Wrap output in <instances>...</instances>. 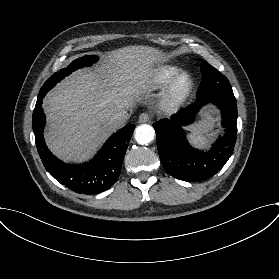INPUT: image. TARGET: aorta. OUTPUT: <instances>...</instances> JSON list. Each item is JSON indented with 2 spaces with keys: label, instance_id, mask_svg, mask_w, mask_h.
Listing matches in <instances>:
<instances>
[{
  "label": "aorta",
  "instance_id": "obj_1",
  "mask_svg": "<svg viewBox=\"0 0 279 279\" xmlns=\"http://www.w3.org/2000/svg\"><path fill=\"white\" fill-rule=\"evenodd\" d=\"M135 140L140 145H148L155 137V130L148 124H142L135 129Z\"/></svg>",
  "mask_w": 279,
  "mask_h": 279
}]
</instances>
